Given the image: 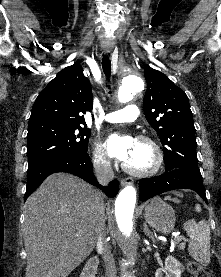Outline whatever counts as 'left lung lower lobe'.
<instances>
[{"label": "left lung lower lobe", "instance_id": "obj_1", "mask_svg": "<svg viewBox=\"0 0 221 277\" xmlns=\"http://www.w3.org/2000/svg\"><path fill=\"white\" fill-rule=\"evenodd\" d=\"M140 200H147L161 193L175 189H191L196 191L207 203L205 187L201 175H195L187 169H173L160 176L141 179Z\"/></svg>", "mask_w": 221, "mask_h": 277}]
</instances>
